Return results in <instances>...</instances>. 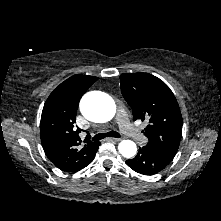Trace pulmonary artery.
Segmentation results:
<instances>
[{"label": "pulmonary artery", "mask_w": 221, "mask_h": 221, "mask_svg": "<svg viewBox=\"0 0 221 221\" xmlns=\"http://www.w3.org/2000/svg\"><path fill=\"white\" fill-rule=\"evenodd\" d=\"M117 123L120 130L127 136L131 137L136 142H143L145 140L142 135L132 124H130L125 111L120 107L117 111Z\"/></svg>", "instance_id": "obj_1"}]
</instances>
